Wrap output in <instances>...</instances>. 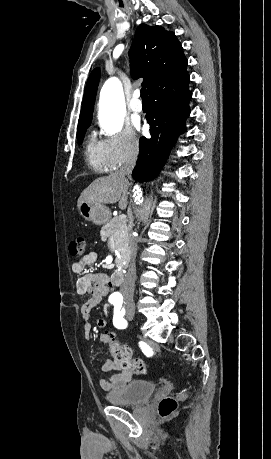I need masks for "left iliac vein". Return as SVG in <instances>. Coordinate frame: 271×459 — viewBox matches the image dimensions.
Here are the masks:
<instances>
[{"label": "left iliac vein", "mask_w": 271, "mask_h": 459, "mask_svg": "<svg viewBox=\"0 0 271 459\" xmlns=\"http://www.w3.org/2000/svg\"><path fill=\"white\" fill-rule=\"evenodd\" d=\"M132 316H133V314H132V313H131V314H127V315H126V317H127L129 320H131V319H132Z\"/></svg>", "instance_id": "4c4485c4"}]
</instances>
